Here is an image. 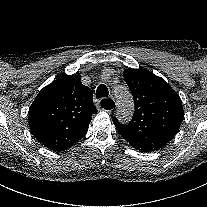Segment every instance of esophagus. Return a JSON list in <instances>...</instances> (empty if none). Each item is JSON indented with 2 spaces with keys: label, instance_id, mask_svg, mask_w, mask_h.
Listing matches in <instances>:
<instances>
[{
  "label": "esophagus",
  "instance_id": "esophagus-1",
  "mask_svg": "<svg viewBox=\"0 0 207 207\" xmlns=\"http://www.w3.org/2000/svg\"><path fill=\"white\" fill-rule=\"evenodd\" d=\"M101 108L106 112H114L116 110V103L110 99H103L101 101Z\"/></svg>",
  "mask_w": 207,
  "mask_h": 207
}]
</instances>
